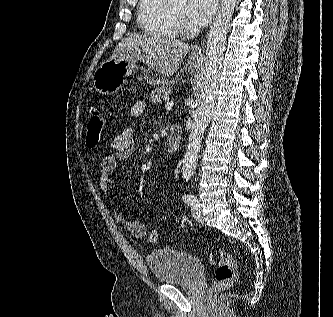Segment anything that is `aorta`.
I'll return each instance as SVG.
<instances>
[{
  "instance_id": "aorta-1",
  "label": "aorta",
  "mask_w": 333,
  "mask_h": 317,
  "mask_svg": "<svg viewBox=\"0 0 333 317\" xmlns=\"http://www.w3.org/2000/svg\"><path fill=\"white\" fill-rule=\"evenodd\" d=\"M237 0H221V7L209 31L206 44L205 80L202 101L194 113L188 145L183 161L182 177L188 181L194 174L202 136L215 110L221 82L226 35Z\"/></svg>"
}]
</instances>
